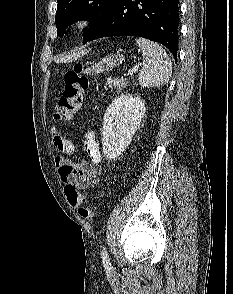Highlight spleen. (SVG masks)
<instances>
[{
	"label": "spleen",
	"instance_id": "1",
	"mask_svg": "<svg viewBox=\"0 0 233 294\" xmlns=\"http://www.w3.org/2000/svg\"><path fill=\"white\" fill-rule=\"evenodd\" d=\"M142 51L144 65L138 75L142 88L167 84L172 74V64L166 51L157 43L138 38L135 40Z\"/></svg>",
	"mask_w": 233,
	"mask_h": 294
}]
</instances>
